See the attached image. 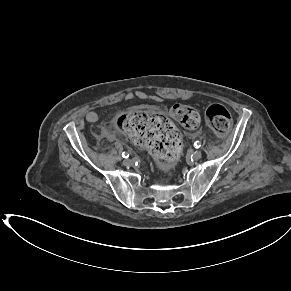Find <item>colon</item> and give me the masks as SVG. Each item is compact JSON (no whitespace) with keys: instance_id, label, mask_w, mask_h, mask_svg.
I'll return each instance as SVG.
<instances>
[{"instance_id":"colon-1","label":"colon","mask_w":291,"mask_h":291,"mask_svg":"<svg viewBox=\"0 0 291 291\" xmlns=\"http://www.w3.org/2000/svg\"><path fill=\"white\" fill-rule=\"evenodd\" d=\"M171 113L186 128L194 129L200 123L198 112L189 105L176 104ZM205 119L216 133H225L232 125L231 114L220 104L210 105L206 109ZM115 126L135 144L158 156L164 168H170L177 161L181 149L180 136L165 116L136 111L119 116L115 120Z\"/></svg>"}]
</instances>
